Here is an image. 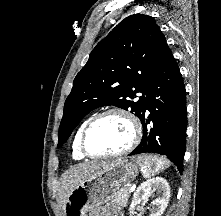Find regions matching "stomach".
<instances>
[{
  "mask_svg": "<svg viewBox=\"0 0 221 216\" xmlns=\"http://www.w3.org/2000/svg\"><path fill=\"white\" fill-rule=\"evenodd\" d=\"M138 165L128 159H117L89 175L69 194L63 207L64 216H87L113 200L117 191L138 175Z\"/></svg>",
  "mask_w": 221,
  "mask_h": 216,
  "instance_id": "obj_1",
  "label": "stomach"
}]
</instances>
